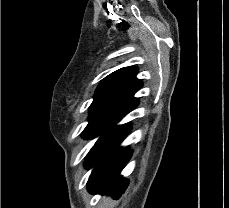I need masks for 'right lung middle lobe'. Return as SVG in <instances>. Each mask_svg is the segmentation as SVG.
<instances>
[{"label":"right lung middle lobe","mask_w":229,"mask_h":208,"mask_svg":"<svg viewBox=\"0 0 229 208\" xmlns=\"http://www.w3.org/2000/svg\"><path fill=\"white\" fill-rule=\"evenodd\" d=\"M137 105L118 100H102L91 104L89 123L82 134L86 139H93L97 136L100 138L87 157L129 126V123L116 126V123L135 109Z\"/></svg>","instance_id":"dd1d6c3e"}]
</instances>
